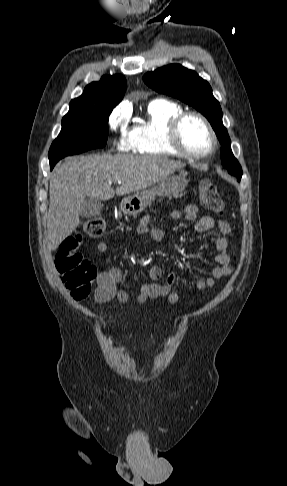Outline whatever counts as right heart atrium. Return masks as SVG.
Masks as SVG:
<instances>
[{
    "instance_id": "1",
    "label": "right heart atrium",
    "mask_w": 287,
    "mask_h": 486,
    "mask_svg": "<svg viewBox=\"0 0 287 486\" xmlns=\"http://www.w3.org/2000/svg\"><path fill=\"white\" fill-rule=\"evenodd\" d=\"M128 119L127 112L121 108L114 109L108 117V127L119 135L115 143L119 151L132 150V142L127 129Z\"/></svg>"
}]
</instances>
